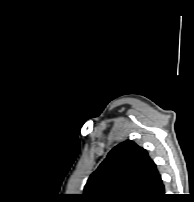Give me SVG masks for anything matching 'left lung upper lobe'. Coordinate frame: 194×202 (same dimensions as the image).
Listing matches in <instances>:
<instances>
[{
  "mask_svg": "<svg viewBox=\"0 0 194 202\" xmlns=\"http://www.w3.org/2000/svg\"><path fill=\"white\" fill-rule=\"evenodd\" d=\"M161 176L145 149L133 141L114 147L89 177L86 202H152Z\"/></svg>",
  "mask_w": 194,
  "mask_h": 202,
  "instance_id": "1",
  "label": "left lung upper lobe"
}]
</instances>
